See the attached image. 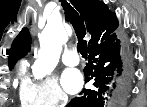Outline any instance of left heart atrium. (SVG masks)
Returning <instances> with one entry per match:
<instances>
[{
  "mask_svg": "<svg viewBox=\"0 0 147 107\" xmlns=\"http://www.w3.org/2000/svg\"><path fill=\"white\" fill-rule=\"evenodd\" d=\"M62 84L67 92H78L83 85V78L81 73L75 69L66 70L62 77Z\"/></svg>",
  "mask_w": 147,
  "mask_h": 107,
  "instance_id": "left-heart-atrium-1",
  "label": "left heart atrium"
}]
</instances>
